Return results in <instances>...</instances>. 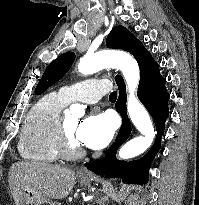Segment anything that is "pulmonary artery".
<instances>
[{
    "label": "pulmonary artery",
    "mask_w": 199,
    "mask_h": 205,
    "mask_svg": "<svg viewBox=\"0 0 199 205\" xmlns=\"http://www.w3.org/2000/svg\"><path fill=\"white\" fill-rule=\"evenodd\" d=\"M110 88L106 79L91 78L59 89V94L67 102L81 101L89 104L97 103Z\"/></svg>",
    "instance_id": "obj_1"
}]
</instances>
